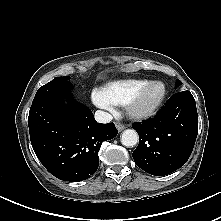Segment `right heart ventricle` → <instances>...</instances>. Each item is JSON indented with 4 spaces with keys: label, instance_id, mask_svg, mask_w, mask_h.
I'll return each mask as SVG.
<instances>
[{
    "label": "right heart ventricle",
    "instance_id": "right-heart-ventricle-1",
    "mask_svg": "<svg viewBox=\"0 0 221 221\" xmlns=\"http://www.w3.org/2000/svg\"><path fill=\"white\" fill-rule=\"evenodd\" d=\"M146 79H124L107 83L101 88L103 95L116 106H125L126 103L147 84Z\"/></svg>",
    "mask_w": 221,
    "mask_h": 221
}]
</instances>
